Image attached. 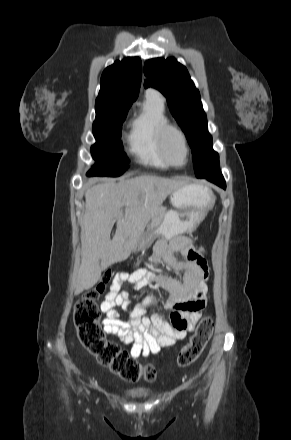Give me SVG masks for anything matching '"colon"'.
Listing matches in <instances>:
<instances>
[{"label":"colon","mask_w":291,"mask_h":440,"mask_svg":"<svg viewBox=\"0 0 291 440\" xmlns=\"http://www.w3.org/2000/svg\"><path fill=\"white\" fill-rule=\"evenodd\" d=\"M111 279L112 271L105 270L99 283L90 288L76 303L73 323L77 338L81 345L99 362L108 365L124 380L131 382L141 379L152 381L157 375V370L153 365H139L116 344L107 342L103 336L96 300L104 293L105 285ZM213 328L214 322L211 317H205L200 321L189 343L178 354L177 363L179 366H187L200 356L213 333Z\"/></svg>","instance_id":"5ec220e1"}]
</instances>
